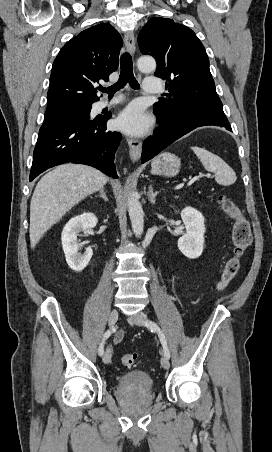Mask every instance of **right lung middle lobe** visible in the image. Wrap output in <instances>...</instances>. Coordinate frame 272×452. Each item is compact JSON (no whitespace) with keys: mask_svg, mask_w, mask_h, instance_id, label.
I'll return each mask as SVG.
<instances>
[{"mask_svg":"<svg viewBox=\"0 0 272 452\" xmlns=\"http://www.w3.org/2000/svg\"><path fill=\"white\" fill-rule=\"evenodd\" d=\"M91 107L92 106L79 108V109H75V110H71V111H67V112H63V113H59V114H55V115H50V116H73V117H76L79 115H83L86 117H90ZM50 116H45V117H50Z\"/></svg>","mask_w":272,"mask_h":452,"instance_id":"obj_1","label":"right lung middle lobe"}]
</instances>
